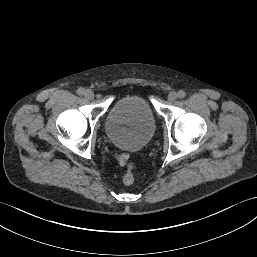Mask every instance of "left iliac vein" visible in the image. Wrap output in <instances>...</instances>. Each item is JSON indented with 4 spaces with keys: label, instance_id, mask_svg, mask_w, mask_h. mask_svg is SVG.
<instances>
[{
    "label": "left iliac vein",
    "instance_id": "4c4485c4",
    "mask_svg": "<svg viewBox=\"0 0 257 257\" xmlns=\"http://www.w3.org/2000/svg\"><path fill=\"white\" fill-rule=\"evenodd\" d=\"M176 99H177V93H176V92L172 91V92H170V93L168 94V100H169V101L173 102V101H175Z\"/></svg>",
    "mask_w": 257,
    "mask_h": 257
}]
</instances>
